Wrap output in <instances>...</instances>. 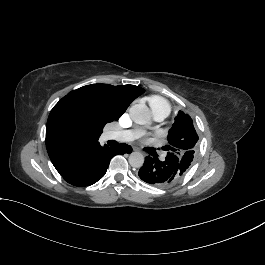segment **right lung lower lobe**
Segmentation results:
<instances>
[{"mask_svg": "<svg viewBox=\"0 0 265 265\" xmlns=\"http://www.w3.org/2000/svg\"><path fill=\"white\" fill-rule=\"evenodd\" d=\"M132 147L122 143L117 148L100 144L73 157L62 169L57 170L68 183L83 187L100 180L106 173L109 162L117 154L131 153Z\"/></svg>", "mask_w": 265, "mask_h": 265, "instance_id": "right-lung-lower-lobe-1", "label": "right lung lower lobe"}]
</instances>
